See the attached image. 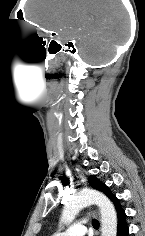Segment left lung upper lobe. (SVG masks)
Here are the masks:
<instances>
[{
  "instance_id": "left-lung-upper-lobe-1",
  "label": "left lung upper lobe",
  "mask_w": 145,
  "mask_h": 236,
  "mask_svg": "<svg viewBox=\"0 0 145 236\" xmlns=\"http://www.w3.org/2000/svg\"><path fill=\"white\" fill-rule=\"evenodd\" d=\"M88 181L91 187L105 193L114 202L116 209H121L119 199L109 191L105 184L101 183L95 176H90Z\"/></svg>"
}]
</instances>
